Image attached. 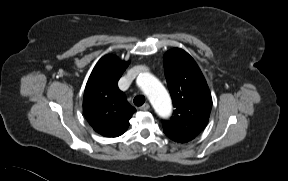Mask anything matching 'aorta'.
Listing matches in <instances>:
<instances>
[{
  "label": "aorta",
  "mask_w": 288,
  "mask_h": 181,
  "mask_svg": "<svg viewBox=\"0 0 288 181\" xmlns=\"http://www.w3.org/2000/svg\"><path fill=\"white\" fill-rule=\"evenodd\" d=\"M137 83L147 95L155 110L162 116L171 111V100L164 86L150 73H141Z\"/></svg>",
  "instance_id": "aorta-1"
}]
</instances>
